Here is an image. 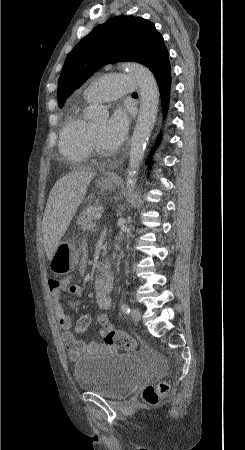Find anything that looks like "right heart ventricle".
Wrapping results in <instances>:
<instances>
[{
  "mask_svg": "<svg viewBox=\"0 0 245 450\" xmlns=\"http://www.w3.org/2000/svg\"><path fill=\"white\" fill-rule=\"evenodd\" d=\"M83 100L90 102L84 96ZM90 126V121L86 119L80 107H74L60 132L59 149L64 156L78 162H84L90 157Z\"/></svg>",
  "mask_w": 245,
  "mask_h": 450,
  "instance_id": "1",
  "label": "right heart ventricle"
}]
</instances>
